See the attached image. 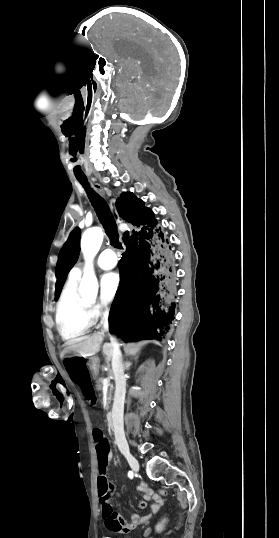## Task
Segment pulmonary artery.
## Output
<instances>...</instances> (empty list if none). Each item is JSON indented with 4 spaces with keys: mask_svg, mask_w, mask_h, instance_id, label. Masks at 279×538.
<instances>
[{
    "mask_svg": "<svg viewBox=\"0 0 279 538\" xmlns=\"http://www.w3.org/2000/svg\"><path fill=\"white\" fill-rule=\"evenodd\" d=\"M117 261H118V256L116 255L115 251L112 249H105L97 257L96 264L102 270H109V269H112L116 265ZM83 269H84V264L77 263L71 269L70 274L72 276L80 275L83 272Z\"/></svg>",
    "mask_w": 279,
    "mask_h": 538,
    "instance_id": "pulmonary-artery-1",
    "label": "pulmonary artery"
}]
</instances>
